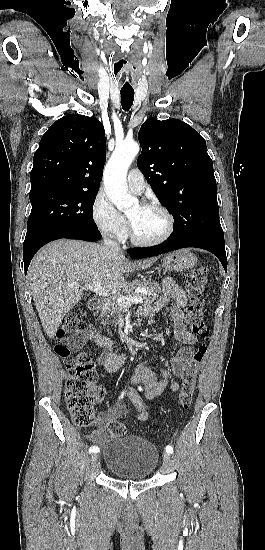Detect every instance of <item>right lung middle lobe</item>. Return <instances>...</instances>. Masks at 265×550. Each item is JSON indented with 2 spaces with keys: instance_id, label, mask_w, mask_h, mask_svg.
Returning <instances> with one entry per match:
<instances>
[{
  "instance_id": "right-lung-middle-lobe-1",
  "label": "right lung middle lobe",
  "mask_w": 265,
  "mask_h": 550,
  "mask_svg": "<svg viewBox=\"0 0 265 550\" xmlns=\"http://www.w3.org/2000/svg\"><path fill=\"white\" fill-rule=\"evenodd\" d=\"M96 194L53 188L30 191L32 210L23 247L62 229L98 230L92 216Z\"/></svg>"
}]
</instances>
